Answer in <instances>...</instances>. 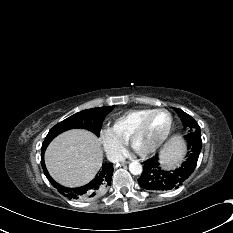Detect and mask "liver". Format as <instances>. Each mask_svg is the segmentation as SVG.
<instances>
[{"label":"liver","instance_id":"liver-1","mask_svg":"<svg viewBox=\"0 0 233 233\" xmlns=\"http://www.w3.org/2000/svg\"><path fill=\"white\" fill-rule=\"evenodd\" d=\"M179 144L172 141L161 152L162 162L173 165ZM103 151L99 139L87 130H70L57 136L45 152V164L54 180L66 187H80L99 171Z\"/></svg>","mask_w":233,"mask_h":233}]
</instances>
